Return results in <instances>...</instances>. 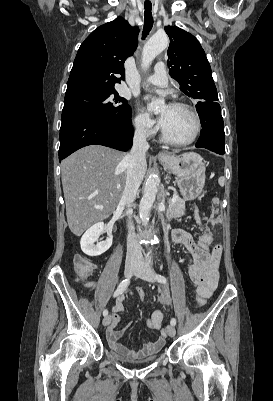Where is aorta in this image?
<instances>
[{
	"label": "aorta",
	"instance_id": "obj_1",
	"mask_svg": "<svg viewBox=\"0 0 273 401\" xmlns=\"http://www.w3.org/2000/svg\"><path fill=\"white\" fill-rule=\"evenodd\" d=\"M169 45V39L165 33L154 34L145 44L142 51V67L148 68L157 55ZM164 105V100H153L150 109L157 113ZM158 177L151 173L146 180L143 197L139 205V215L143 224H147L152 205L157 194Z\"/></svg>",
	"mask_w": 273,
	"mask_h": 401
}]
</instances>
